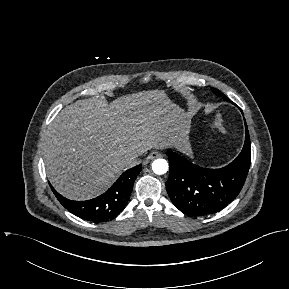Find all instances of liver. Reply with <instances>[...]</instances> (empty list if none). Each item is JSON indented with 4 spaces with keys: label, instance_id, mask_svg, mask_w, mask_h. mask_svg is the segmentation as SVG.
Returning <instances> with one entry per match:
<instances>
[{
    "label": "liver",
    "instance_id": "1",
    "mask_svg": "<svg viewBox=\"0 0 289 289\" xmlns=\"http://www.w3.org/2000/svg\"><path fill=\"white\" fill-rule=\"evenodd\" d=\"M187 132L180 108L161 90L110 104L77 102L62 110L45 132L47 175L66 198L91 199L129 168L128 155L172 145L185 150Z\"/></svg>",
    "mask_w": 289,
    "mask_h": 289
}]
</instances>
